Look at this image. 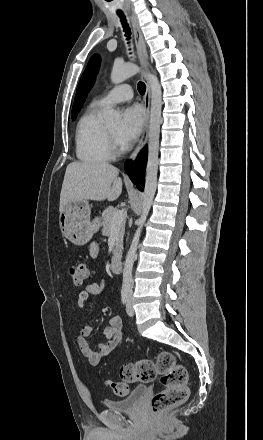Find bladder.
Wrapping results in <instances>:
<instances>
[{
  "label": "bladder",
  "instance_id": "obj_1",
  "mask_svg": "<svg viewBox=\"0 0 263 440\" xmlns=\"http://www.w3.org/2000/svg\"><path fill=\"white\" fill-rule=\"evenodd\" d=\"M147 391L148 387L145 385L136 386L124 398L104 400V406L109 410L118 412L135 411L146 395Z\"/></svg>",
  "mask_w": 263,
  "mask_h": 440
}]
</instances>
